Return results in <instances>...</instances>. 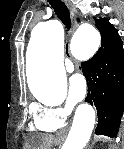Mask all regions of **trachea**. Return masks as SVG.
<instances>
[{
    "label": "trachea",
    "instance_id": "trachea-1",
    "mask_svg": "<svg viewBox=\"0 0 124 149\" xmlns=\"http://www.w3.org/2000/svg\"><path fill=\"white\" fill-rule=\"evenodd\" d=\"M52 8L54 9L57 17L63 22L67 29L70 28V13L68 8L61 0H48Z\"/></svg>",
    "mask_w": 124,
    "mask_h": 149
}]
</instances>
